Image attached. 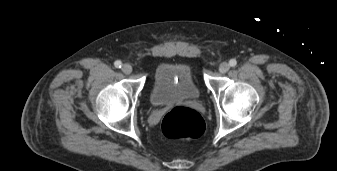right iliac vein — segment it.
Instances as JSON below:
<instances>
[{"mask_svg":"<svg viewBox=\"0 0 337 171\" xmlns=\"http://www.w3.org/2000/svg\"><path fill=\"white\" fill-rule=\"evenodd\" d=\"M122 71L125 74H130L132 72V66L126 63L122 66Z\"/></svg>","mask_w":337,"mask_h":171,"instance_id":"right-iliac-vein-1","label":"right iliac vein"}]
</instances>
